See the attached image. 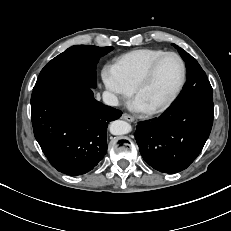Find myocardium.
I'll return each mask as SVG.
<instances>
[{"instance_id": "f54148a6", "label": "myocardium", "mask_w": 231, "mask_h": 231, "mask_svg": "<svg viewBox=\"0 0 231 231\" xmlns=\"http://www.w3.org/2000/svg\"><path fill=\"white\" fill-rule=\"evenodd\" d=\"M169 56H174L176 57L181 65V78L180 81L176 87V89L171 93V95L165 99L163 102L160 104L148 108L149 113H158L161 112L165 109H167L180 95L181 91L184 88L185 82H186V76H187V68L184 59L176 52L168 51L165 52L164 54L160 55L157 57L145 70V72L142 74V76L139 78V80L136 82V84L133 87V92L135 96L138 95V93L141 91V89L151 80L153 77L158 65L161 63L163 59Z\"/></svg>"}]
</instances>
